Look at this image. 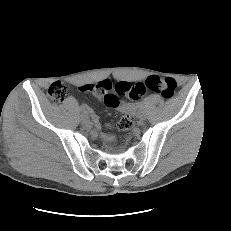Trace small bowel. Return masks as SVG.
<instances>
[{
    "instance_id": "small-bowel-1",
    "label": "small bowel",
    "mask_w": 231,
    "mask_h": 231,
    "mask_svg": "<svg viewBox=\"0 0 231 231\" xmlns=\"http://www.w3.org/2000/svg\"><path fill=\"white\" fill-rule=\"evenodd\" d=\"M97 84H83V85L79 86V90L81 92H93V93H95L101 97L102 94L96 90ZM119 106H120L121 111H127L130 114L134 113L135 108H136L135 104L125 102V101H119ZM109 127H111V126H109ZM103 137L107 141H113L114 140V136L110 131L105 132Z\"/></svg>"
}]
</instances>
